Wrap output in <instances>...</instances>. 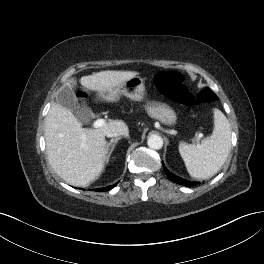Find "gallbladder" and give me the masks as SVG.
I'll list each match as a JSON object with an SVG mask.
<instances>
[{
  "instance_id": "obj_1",
  "label": "gallbladder",
  "mask_w": 264,
  "mask_h": 264,
  "mask_svg": "<svg viewBox=\"0 0 264 264\" xmlns=\"http://www.w3.org/2000/svg\"><path fill=\"white\" fill-rule=\"evenodd\" d=\"M56 101L59 105L74 113L75 117L81 122H87L93 115L88 107H80L77 97L70 86L60 88Z\"/></svg>"
}]
</instances>
